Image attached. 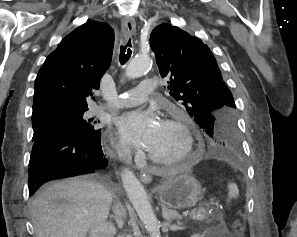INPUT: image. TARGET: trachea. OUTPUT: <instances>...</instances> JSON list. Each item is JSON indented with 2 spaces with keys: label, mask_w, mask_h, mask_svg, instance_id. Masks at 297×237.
<instances>
[{
  "label": "trachea",
  "mask_w": 297,
  "mask_h": 237,
  "mask_svg": "<svg viewBox=\"0 0 297 237\" xmlns=\"http://www.w3.org/2000/svg\"><path fill=\"white\" fill-rule=\"evenodd\" d=\"M131 54H132L131 40L129 39V41L127 42V44L122 45L120 47L119 59H120L121 65H124L130 59Z\"/></svg>",
  "instance_id": "3493384b"
}]
</instances>
